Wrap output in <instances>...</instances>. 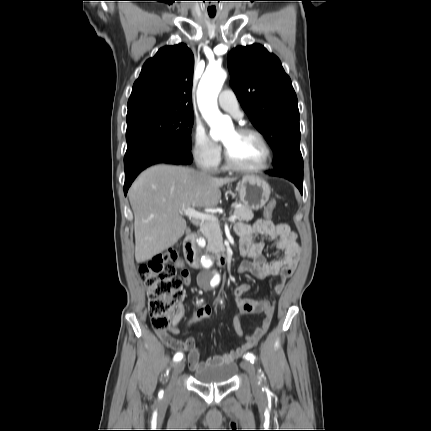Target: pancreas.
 <instances>
[{
    "label": "pancreas",
    "instance_id": "obj_1",
    "mask_svg": "<svg viewBox=\"0 0 431 431\" xmlns=\"http://www.w3.org/2000/svg\"><path fill=\"white\" fill-rule=\"evenodd\" d=\"M235 208L233 215L239 221H251L254 217V214L251 209L246 206L241 205L240 203H233ZM204 227V237L207 239V249L209 251H215L222 247V235L221 229L218 222L213 221H205L203 224Z\"/></svg>",
    "mask_w": 431,
    "mask_h": 431
}]
</instances>
